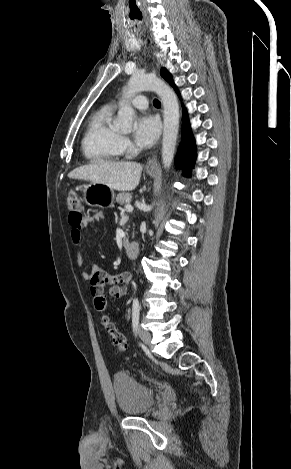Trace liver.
<instances>
[{
	"instance_id": "6515ba94",
	"label": "liver",
	"mask_w": 291,
	"mask_h": 469,
	"mask_svg": "<svg viewBox=\"0 0 291 469\" xmlns=\"http://www.w3.org/2000/svg\"><path fill=\"white\" fill-rule=\"evenodd\" d=\"M141 173L142 165L136 162L101 161L76 168L68 177L103 183L118 191H130L138 186Z\"/></svg>"
}]
</instances>
